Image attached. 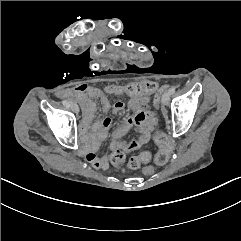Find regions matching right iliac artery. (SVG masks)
<instances>
[{"label": "right iliac artery", "mask_w": 241, "mask_h": 241, "mask_svg": "<svg viewBox=\"0 0 241 241\" xmlns=\"http://www.w3.org/2000/svg\"><path fill=\"white\" fill-rule=\"evenodd\" d=\"M64 104L66 105V106H70V103L69 102H67V101H64Z\"/></svg>", "instance_id": "1"}]
</instances>
